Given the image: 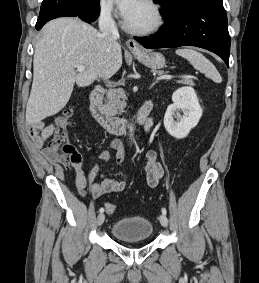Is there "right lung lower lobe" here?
<instances>
[{"instance_id":"1","label":"right lung lower lobe","mask_w":259,"mask_h":283,"mask_svg":"<svg viewBox=\"0 0 259 283\" xmlns=\"http://www.w3.org/2000/svg\"><path fill=\"white\" fill-rule=\"evenodd\" d=\"M100 12L99 0H43L36 29L58 17L78 16L85 22L95 21Z\"/></svg>"}]
</instances>
